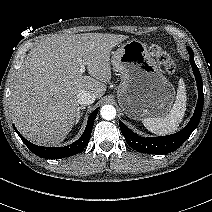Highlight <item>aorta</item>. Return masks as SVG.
<instances>
[{"label": "aorta", "mask_w": 212, "mask_h": 212, "mask_svg": "<svg viewBox=\"0 0 212 212\" xmlns=\"http://www.w3.org/2000/svg\"><path fill=\"white\" fill-rule=\"evenodd\" d=\"M100 115L105 120H112L116 117V109L112 105H104L100 110Z\"/></svg>", "instance_id": "obj_1"}]
</instances>
